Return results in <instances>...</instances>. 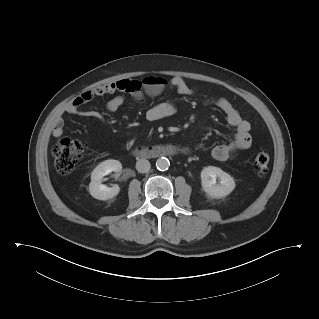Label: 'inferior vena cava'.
<instances>
[{
  "label": "inferior vena cava",
  "mask_w": 319,
  "mask_h": 319,
  "mask_svg": "<svg viewBox=\"0 0 319 319\" xmlns=\"http://www.w3.org/2000/svg\"><path fill=\"white\" fill-rule=\"evenodd\" d=\"M150 162L146 159H139L137 162H136V169L138 172L140 173H146L150 170Z\"/></svg>",
  "instance_id": "obj_1"
}]
</instances>
